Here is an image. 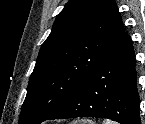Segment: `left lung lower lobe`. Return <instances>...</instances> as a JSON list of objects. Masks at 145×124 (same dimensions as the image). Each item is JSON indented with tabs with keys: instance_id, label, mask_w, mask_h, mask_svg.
Returning a JSON list of instances; mask_svg holds the SVG:
<instances>
[{
	"instance_id": "0a47b994",
	"label": "left lung lower lobe",
	"mask_w": 145,
	"mask_h": 124,
	"mask_svg": "<svg viewBox=\"0 0 145 124\" xmlns=\"http://www.w3.org/2000/svg\"><path fill=\"white\" fill-rule=\"evenodd\" d=\"M74 117L141 124L135 54L127 34L121 45L46 120Z\"/></svg>"
}]
</instances>
